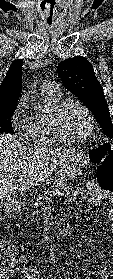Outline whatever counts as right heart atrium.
<instances>
[{
    "label": "right heart atrium",
    "mask_w": 113,
    "mask_h": 279,
    "mask_svg": "<svg viewBox=\"0 0 113 279\" xmlns=\"http://www.w3.org/2000/svg\"><path fill=\"white\" fill-rule=\"evenodd\" d=\"M30 117L27 115V100L23 97L12 116V125L15 130L25 132L28 128Z\"/></svg>",
    "instance_id": "1"
}]
</instances>
